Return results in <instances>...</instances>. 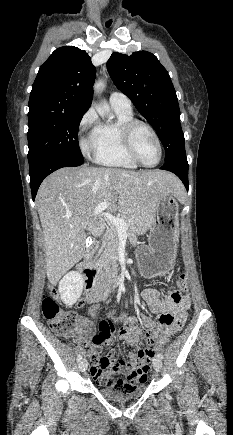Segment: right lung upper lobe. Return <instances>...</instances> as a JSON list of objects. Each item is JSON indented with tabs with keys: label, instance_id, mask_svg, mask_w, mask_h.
Returning <instances> with one entry per match:
<instances>
[{
	"label": "right lung upper lobe",
	"instance_id": "right-lung-upper-lobe-1",
	"mask_svg": "<svg viewBox=\"0 0 233 435\" xmlns=\"http://www.w3.org/2000/svg\"><path fill=\"white\" fill-rule=\"evenodd\" d=\"M88 54L74 46L56 49L40 67L32 86L28 117L47 113H86L95 81Z\"/></svg>",
	"mask_w": 233,
	"mask_h": 435
}]
</instances>
